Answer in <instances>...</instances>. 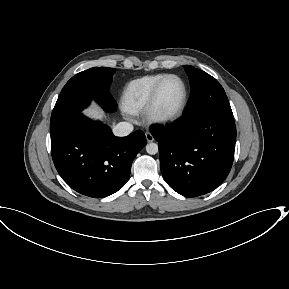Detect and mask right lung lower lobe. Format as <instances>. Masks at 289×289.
Masks as SVG:
<instances>
[{
	"mask_svg": "<svg viewBox=\"0 0 289 289\" xmlns=\"http://www.w3.org/2000/svg\"><path fill=\"white\" fill-rule=\"evenodd\" d=\"M146 145L142 131L116 137L102 123H93L81 112L51 133L54 165L63 180L80 194L102 198L120 190L131 165Z\"/></svg>",
	"mask_w": 289,
	"mask_h": 289,
	"instance_id": "98d812e1",
	"label": "right lung lower lobe"
}]
</instances>
